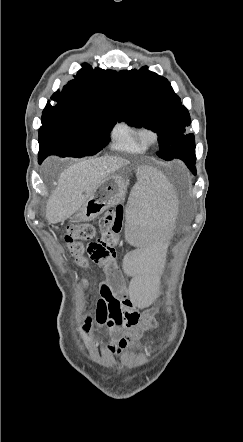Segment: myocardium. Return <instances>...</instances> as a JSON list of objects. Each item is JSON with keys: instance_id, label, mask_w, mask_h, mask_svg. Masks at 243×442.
Wrapping results in <instances>:
<instances>
[{"instance_id": "f54148a6", "label": "myocardium", "mask_w": 243, "mask_h": 442, "mask_svg": "<svg viewBox=\"0 0 243 442\" xmlns=\"http://www.w3.org/2000/svg\"><path fill=\"white\" fill-rule=\"evenodd\" d=\"M142 137L147 145H153L159 141L160 134L154 127H145L143 128Z\"/></svg>"}]
</instances>
